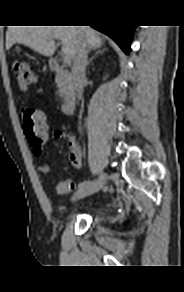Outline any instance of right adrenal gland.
<instances>
[{
  "label": "right adrenal gland",
  "instance_id": "1",
  "mask_svg": "<svg viewBox=\"0 0 184 292\" xmlns=\"http://www.w3.org/2000/svg\"><path fill=\"white\" fill-rule=\"evenodd\" d=\"M105 50H106V49H102V50H100V49L98 48V50L94 53V55H92V57H91V58L89 59V61L87 62V66L90 65V63L92 62V60H93L95 57H97L99 54H102Z\"/></svg>",
  "mask_w": 184,
  "mask_h": 292
}]
</instances>
